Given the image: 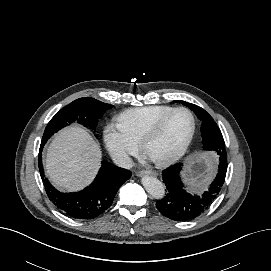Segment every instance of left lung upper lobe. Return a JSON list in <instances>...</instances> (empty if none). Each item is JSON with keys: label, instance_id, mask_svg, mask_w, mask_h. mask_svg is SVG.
Instances as JSON below:
<instances>
[{"label": "left lung upper lobe", "instance_id": "5c2ea615", "mask_svg": "<svg viewBox=\"0 0 271 271\" xmlns=\"http://www.w3.org/2000/svg\"><path fill=\"white\" fill-rule=\"evenodd\" d=\"M177 102L182 103L193 110L197 117L202 121L201 134L204 149L216 152L219 157L223 155L221 152H226L224 139L213 118L203 108L197 105L180 100Z\"/></svg>", "mask_w": 271, "mask_h": 271}]
</instances>
